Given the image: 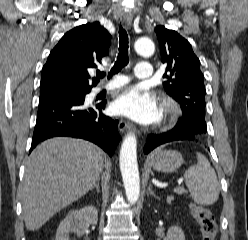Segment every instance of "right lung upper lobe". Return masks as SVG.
<instances>
[{"instance_id":"obj_1","label":"right lung upper lobe","mask_w":248,"mask_h":240,"mask_svg":"<svg viewBox=\"0 0 248 240\" xmlns=\"http://www.w3.org/2000/svg\"><path fill=\"white\" fill-rule=\"evenodd\" d=\"M110 43L111 35L99 22L68 31L51 51L42 69L39 100L90 92L98 80L93 78V84L89 85V71L101 64Z\"/></svg>"}]
</instances>
